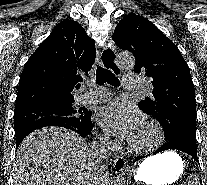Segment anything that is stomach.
Wrapping results in <instances>:
<instances>
[{
    "instance_id": "0dacf381",
    "label": "stomach",
    "mask_w": 207,
    "mask_h": 185,
    "mask_svg": "<svg viewBox=\"0 0 207 185\" xmlns=\"http://www.w3.org/2000/svg\"><path fill=\"white\" fill-rule=\"evenodd\" d=\"M183 170L181 157L174 152H165L145 159L137 170L135 180L147 185L172 184Z\"/></svg>"
}]
</instances>
